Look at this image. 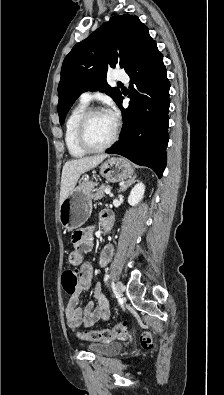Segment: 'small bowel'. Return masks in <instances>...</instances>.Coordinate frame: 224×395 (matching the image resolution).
<instances>
[{"label": "small bowel", "instance_id": "obj_1", "mask_svg": "<svg viewBox=\"0 0 224 395\" xmlns=\"http://www.w3.org/2000/svg\"><path fill=\"white\" fill-rule=\"evenodd\" d=\"M100 214V221L102 215ZM74 250L69 255V261L72 264L80 266L79 283L76 291L71 295L65 307V319L68 327L78 329L82 326L88 327L98 320H107L110 315L109 301L103 293L100 284H96L93 289V296L96 305L89 302L84 310L79 307V296L81 292L87 290L92 282V266L85 260V254L93 247V232L91 228L77 230L72 235ZM113 247L108 245L104 248L100 257V264L106 265L112 258Z\"/></svg>", "mask_w": 224, "mask_h": 395}]
</instances>
